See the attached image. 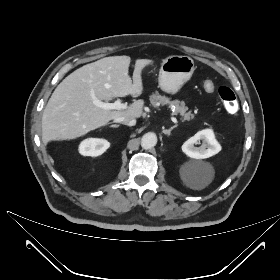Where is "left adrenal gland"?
Wrapping results in <instances>:
<instances>
[{
  "instance_id": "1",
  "label": "left adrenal gland",
  "mask_w": 280,
  "mask_h": 280,
  "mask_svg": "<svg viewBox=\"0 0 280 280\" xmlns=\"http://www.w3.org/2000/svg\"><path fill=\"white\" fill-rule=\"evenodd\" d=\"M177 127V125H174V126H172L171 128H169L168 130H166V129H164L163 128V133L165 134V135H170V133H171V131L174 129V128H176Z\"/></svg>"
}]
</instances>
